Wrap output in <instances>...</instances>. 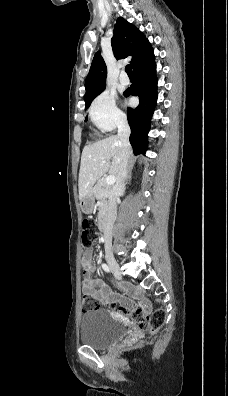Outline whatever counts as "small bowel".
<instances>
[{
  "mask_svg": "<svg viewBox=\"0 0 228 396\" xmlns=\"http://www.w3.org/2000/svg\"><path fill=\"white\" fill-rule=\"evenodd\" d=\"M82 267V292L84 295H91L102 304H120L136 315L147 314L150 311V303L145 299H141L138 292L131 285L124 284L122 287L136 300L113 292L101 279H93L91 274L96 271V267L92 262V254L90 252L82 260Z\"/></svg>",
  "mask_w": 228,
  "mask_h": 396,
  "instance_id": "small-bowel-1",
  "label": "small bowel"
}]
</instances>
